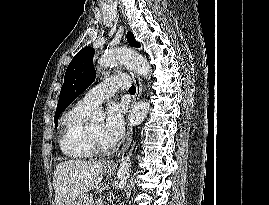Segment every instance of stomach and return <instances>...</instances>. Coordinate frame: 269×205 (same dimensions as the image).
I'll return each mask as SVG.
<instances>
[{"label": "stomach", "instance_id": "obj_1", "mask_svg": "<svg viewBox=\"0 0 269 205\" xmlns=\"http://www.w3.org/2000/svg\"><path fill=\"white\" fill-rule=\"evenodd\" d=\"M104 171L106 174L111 175L113 172V166L107 164L104 167ZM74 205H94V203L91 196L83 194L77 198V200L74 202Z\"/></svg>", "mask_w": 269, "mask_h": 205}]
</instances>
